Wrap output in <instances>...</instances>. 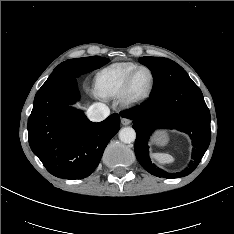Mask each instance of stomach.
I'll list each match as a JSON object with an SVG mask.
<instances>
[{"mask_svg": "<svg viewBox=\"0 0 234 234\" xmlns=\"http://www.w3.org/2000/svg\"><path fill=\"white\" fill-rule=\"evenodd\" d=\"M153 140L155 144L159 146H164L168 143L169 137L167 132L162 131V132H157Z\"/></svg>", "mask_w": 234, "mask_h": 234, "instance_id": "obj_1", "label": "stomach"}]
</instances>
